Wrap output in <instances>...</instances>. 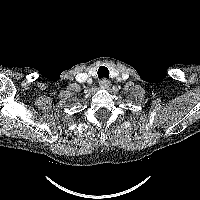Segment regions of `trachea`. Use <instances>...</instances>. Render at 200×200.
<instances>
[{"label": "trachea", "mask_w": 200, "mask_h": 200, "mask_svg": "<svg viewBox=\"0 0 200 200\" xmlns=\"http://www.w3.org/2000/svg\"><path fill=\"white\" fill-rule=\"evenodd\" d=\"M98 77L101 79V78H108L109 77V70L107 69V67L105 66H101L99 69H98Z\"/></svg>", "instance_id": "trachea-1"}]
</instances>
